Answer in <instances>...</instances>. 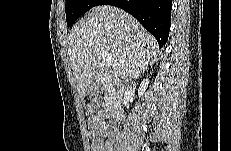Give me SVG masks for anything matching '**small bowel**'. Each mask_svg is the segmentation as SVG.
<instances>
[{"mask_svg":"<svg viewBox=\"0 0 231 151\" xmlns=\"http://www.w3.org/2000/svg\"><path fill=\"white\" fill-rule=\"evenodd\" d=\"M104 121L105 116L101 113H97L89 119L92 151H112V130L105 125Z\"/></svg>","mask_w":231,"mask_h":151,"instance_id":"small-bowel-1","label":"small bowel"}]
</instances>
